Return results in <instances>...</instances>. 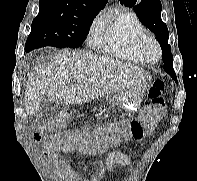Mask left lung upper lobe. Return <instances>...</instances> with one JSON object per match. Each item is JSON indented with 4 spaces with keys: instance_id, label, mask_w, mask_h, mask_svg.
I'll return each mask as SVG.
<instances>
[{
    "instance_id": "5c2ea615",
    "label": "left lung upper lobe",
    "mask_w": 197,
    "mask_h": 181,
    "mask_svg": "<svg viewBox=\"0 0 197 181\" xmlns=\"http://www.w3.org/2000/svg\"><path fill=\"white\" fill-rule=\"evenodd\" d=\"M120 3L130 8L133 7L139 20L156 35L162 49L163 68L177 82V77L173 70L171 47L168 44V28L161 19L162 8L160 0H120Z\"/></svg>"
}]
</instances>
